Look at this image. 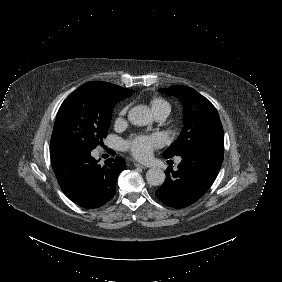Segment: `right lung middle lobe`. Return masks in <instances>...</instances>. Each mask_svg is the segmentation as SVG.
<instances>
[{"label":"right lung middle lobe","mask_w":282,"mask_h":282,"mask_svg":"<svg viewBox=\"0 0 282 282\" xmlns=\"http://www.w3.org/2000/svg\"><path fill=\"white\" fill-rule=\"evenodd\" d=\"M134 90L106 83H86L61 105L53 128L50 156L75 150L92 151L106 138L114 105Z\"/></svg>","instance_id":"1"}]
</instances>
